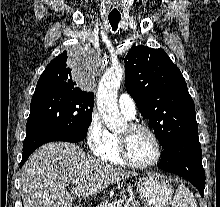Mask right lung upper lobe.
<instances>
[{"instance_id": "1", "label": "right lung upper lobe", "mask_w": 220, "mask_h": 207, "mask_svg": "<svg viewBox=\"0 0 220 207\" xmlns=\"http://www.w3.org/2000/svg\"><path fill=\"white\" fill-rule=\"evenodd\" d=\"M36 89H61L94 95L77 86L72 70L67 64V51L54 58L41 74Z\"/></svg>"}]
</instances>
